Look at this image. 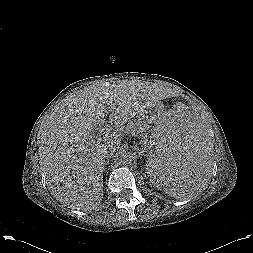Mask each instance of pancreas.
<instances>
[{
  "label": "pancreas",
  "instance_id": "cf45deb5",
  "mask_svg": "<svg viewBox=\"0 0 253 253\" xmlns=\"http://www.w3.org/2000/svg\"><path fill=\"white\" fill-rule=\"evenodd\" d=\"M149 128L150 126L146 122L139 119L131 121L126 127V130L132 135H140L142 144L147 145V131Z\"/></svg>",
  "mask_w": 253,
  "mask_h": 253
}]
</instances>
